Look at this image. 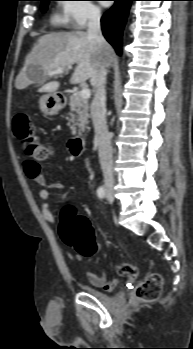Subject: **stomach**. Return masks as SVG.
<instances>
[{
    "instance_id": "obj_1",
    "label": "stomach",
    "mask_w": 193,
    "mask_h": 349,
    "mask_svg": "<svg viewBox=\"0 0 193 349\" xmlns=\"http://www.w3.org/2000/svg\"><path fill=\"white\" fill-rule=\"evenodd\" d=\"M39 106L45 115H55L62 109L63 104L57 93H48L40 97Z\"/></svg>"
}]
</instances>
